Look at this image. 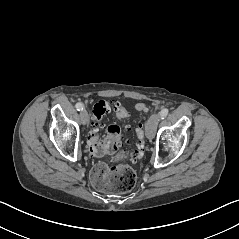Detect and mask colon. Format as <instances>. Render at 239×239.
<instances>
[{"label":"colon","mask_w":239,"mask_h":239,"mask_svg":"<svg viewBox=\"0 0 239 239\" xmlns=\"http://www.w3.org/2000/svg\"><path fill=\"white\" fill-rule=\"evenodd\" d=\"M111 101L100 100L92 111V127L88 136V146L90 152L95 156H105L114 154L115 162L112 165L99 163L94 166L91 172V180L94 186L105 192L123 194L129 192L136 183V172L124 160H136L143 155L145 133L143 127L139 125L136 129L137 146L133 153H127L121 149L122 132L119 125L112 123L106 129V135L103 139L99 138L98 132L101 127L104 115L110 110ZM137 110L148 112L149 108L144 103L136 105ZM127 116L126 111L116 114L118 120H124Z\"/></svg>","instance_id":"5ec220e1"}]
</instances>
